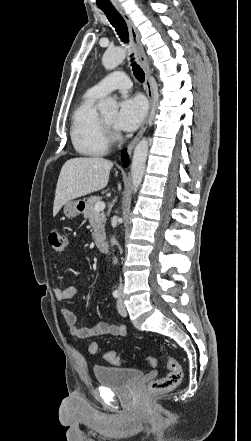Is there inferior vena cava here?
Here are the masks:
<instances>
[{"label": "inferior vena cava", "mask_w": 251, "mask_h": 441, "mask_svg": "<svg viewBox=\"0 0 251 441\" xmlns=\"http://www.w3.org/2000/svg\"><path fill=\"white\" fill-rule=\"evenodd\" d=\"M122 285L120 284L119 288L121 289Z\"/></svg>", "instance_id": "1"}]
</instances>
